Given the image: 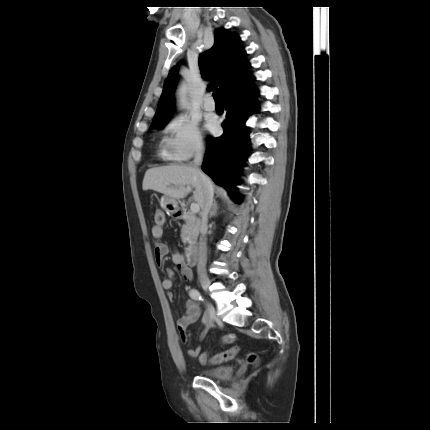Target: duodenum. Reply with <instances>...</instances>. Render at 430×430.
<instances>
[{"label":"duodenum","instance_id":"1","mask_svg":"<svg viewBox=\"0 0 430 430\" xmlns=\"http://www.w3.org/2000/svg\"><path fill=\"white\" fill-rule=\"evenodd\" d=\"M183 214L182 208H178L176 211V216L180 217ZM185 259L189 266H194L197 261V247L195 243L190 242L185 248Z\"/></svg>","mask_w":430,"mask_h":430}]
</instances>
